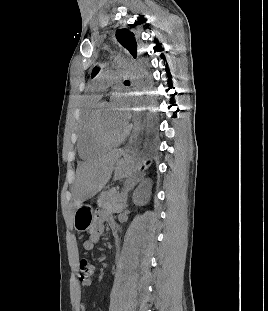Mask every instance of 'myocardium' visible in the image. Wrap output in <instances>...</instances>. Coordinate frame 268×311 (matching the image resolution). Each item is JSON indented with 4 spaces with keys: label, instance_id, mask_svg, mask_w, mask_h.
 Returning a JSON list of instances; mask_svg holds the SVG:
<instances>
[{
    "label": "myocardium",
    "instance_id": "f54148a6",
    "mask_svg": "<svg viewBox=\"0 0 268 311\" xmlns=\"http://www.w3.org/2000/svg\"><path fill=\"white\" fill-rule=\"evenodd\" d=\"M102 104L99 103L95 109L93 119H92V134L95 141L104 147H112L123 142L129 134L130 127L125 126L123 133L116 139L108 138L102 130L101 126V116H102Z\"/></svg>",
    "mask_w": 268,
    "mask_h": 311
}]
</instances>
